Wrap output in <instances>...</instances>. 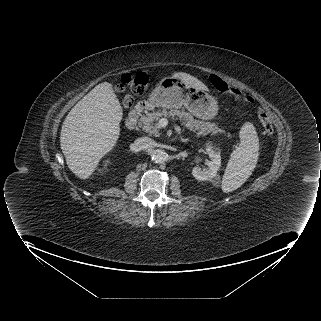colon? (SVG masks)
I'll use <instances>...</instances> for the list:
<instances>
[{
	"instance_id": "obj_1",
	"label": "colon",
	"mask_w": 321,
	"mask_h": 321,
	"mask_svg": "<svg viewBox=\"0 0 321 321\" xmlns=\"http://www.w3.org/2000/svg\"><path fill=\"white\" fill-rule=\"evenodd\" d=\"M147 81V75L143 72H130L124 76V87L122 93L126 104H129L131 102L134 95L141 94L145 90ZM210 82L217 91L228 95L235 102L240 104L251 103V100L249 98H246L243 95H241V93L238 90L230 86L225 80H223L219 76L211 75ZM257 114L258 119L263 127L264 133L267 136H271L273 134L274 129L268 114L262 109H258Z\"/></svg>"
}]
</instances>
